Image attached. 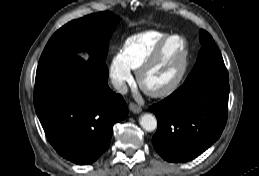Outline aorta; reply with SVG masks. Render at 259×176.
I'll list each match as a JSON object with an SVG mask.
<instances>
[{
    "instance_id": "762f6f07",
    "label": "aorta",
    "mask_w": 259,
    "mask_h": 176,
    "mask_svg": "<svg viewBox=\"0 0 259 176\" xmlns=\"http://www.w3.org/2000/svg\"><path fill=\"white\" fill-rule=\"evenodd\" d=\"M139 123L148 132L154 131L157 128V120L152 114H143L139 118Z\"/></svg>"
}]
</instances>
